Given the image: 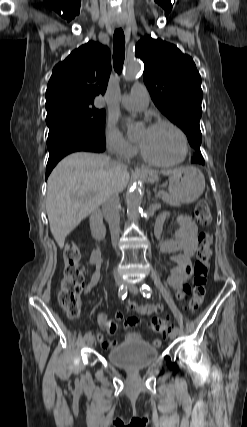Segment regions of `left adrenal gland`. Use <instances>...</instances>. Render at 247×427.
Masks as SVG:
<instances>
[{"mask_svg": "<svg viewBox=\"0 0 247 427\" xmlns=\"http://www.w3.org/2000/svg\"><path fill=\"white\" fill-rule=\"evenodd\" d=\"M148 199L150 200V196H148ZM154 201V200H153ZM156 201V200H155Z\"/></svg>", "mask_w": 247, "mask_h": 427, "instance_id": "left-adrenal-gland-1", "label": "left adrenal gland"}]
</instances>
